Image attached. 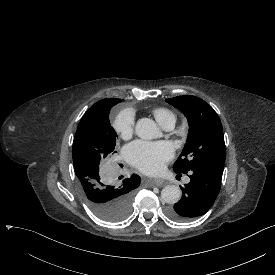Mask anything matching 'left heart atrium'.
I'll return each mask as SVG.
<instances>
[{
    "mask_svg": "<svg viewBox=\"0 0 275 275\" xmlns=\"http://www.w3.org/2000/svg\"><path fill=\"white\" fill-rule=\"evenodd\" d=\"M172 155L171 146L164 141L153 143L137 141L125 148L127 160L137 169L150 174L161 171Z\"/></svg>",
    "mask_w": 275,
    "mask_h": 275,
    "instance_id": "left-heart-atrium-1",
    "label": "left heart atrium"
}]
</instances>
